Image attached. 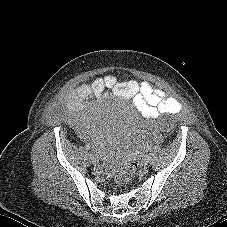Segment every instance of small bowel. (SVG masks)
<instances>
[{
	"mask_svg": "<svg viewBox=\"0 0 227 227\" xmlns=\"http://www.w3.org/2000/svg\"><path fill=\"white\" fill-rule=\"evenodd\" d=\"M134 99L143 110L145 116L156 119L165 114H177L182 109L180 101L168 96L162 89L154 87L147 81H120L114 75L95 78L90 83H83L68 93L64 99L67 120L75 126L79 136L88 140L96 150L102 148L98 138H88L87 113L91 102L99 101L108 96Z\"/></svg>",
	"mask_w": 227,
	"mask_h": 227,
	"instance_id": "c3829d8e",
	"label": "small bowel"
}]
</instances>
